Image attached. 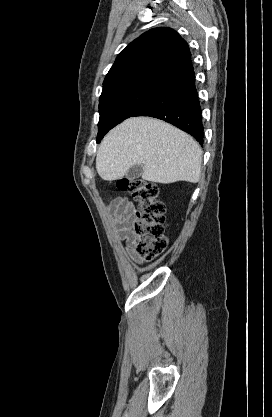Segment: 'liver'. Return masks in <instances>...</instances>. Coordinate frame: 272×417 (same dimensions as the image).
I'll return each mask as SVG.
<instances>
[{
    "label": "liver",
    "mask_w": 272,
    "mask_h": 417,
    "mask_svg": "<svg viewBox=\"0 0 272 417\" xmlns=\"http://www.w3.org/2000/svg\"><path fill=\"white\" fill-rule=\"evenodd\" d=\"M202 149L188 134L148 117H133L112 129L101 142L96 170L105 181L118 180L142 164L146 181L196 183L200 179Z\"/></svg>",
    "instance_id": "1"
}]
</instances>
